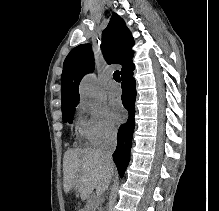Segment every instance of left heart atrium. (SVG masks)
Instances as JSON below:
<instances>
[{
    "mask_svg": "<svg viewBox=\"0 0 219 211\" xmlns=\"http://www.w3.org/2000/svg\"><path fill=\"white\" fill-rule=\"evenodd\" d=\"M112 116L117 123H120L125 119L126 112L120 104L114 103L112 105Z\"/></svg>",
    "mask_w": 219,
    "mask_h": 211,
    "instance_id": "left-heart-atrium-1",
    "label": "left heart atrium"
}]
</instances>
